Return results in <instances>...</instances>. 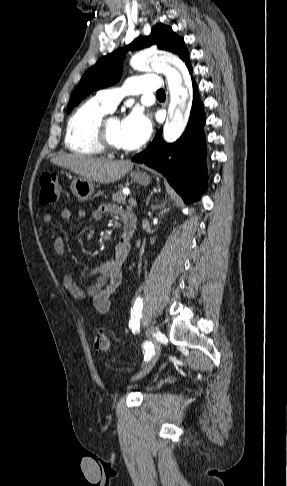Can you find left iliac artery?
<instances>
[{
	"mask_svg": "<svg viewBox=\"0 0 287 486\" xmlns=\"http://www.w3.org/2000/svg\"><path fill=\"white\" fill-rule=\"evenodd\" d=\"M142 309H143V299L141 297L136 298L133 308L131 309V316L129 321V328L133 332L139 330L140 327V319L142 317ZM144 349V361L148 362L151 357L154 355V346L151 342L145 341L143 343Z\"/></svg>",
	"mask_w": 287,
	"mask_h": 486,
	"instance_id": "obj_1",
	"label": "left iliac artery"
}]
</instances>
